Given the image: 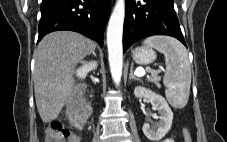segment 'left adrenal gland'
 <instances>
[{"label":"left adrenal gland","instance_id":"left-adrenal-gland-1","mask_svg":"<svg viewBox=\"0 0 227 142\" xmlns=\"http://www.w3.org/2000/svg\"><path fill=\"white\" fill-rule=\"evenodd\" d=\"M133 66H134V64L132 63L131 66H130L129 79H130V80H139V78H137V77L133 74Z\"/></svg>","mask_w":227,"mask_h":142}]
</instances>
